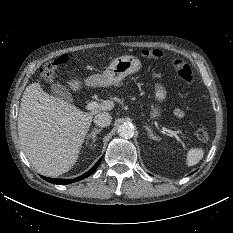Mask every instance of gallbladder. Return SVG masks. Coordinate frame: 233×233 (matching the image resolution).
I'll return each instance as SVG.
<instances>
[{
    "label": "gallbladder",
    "mask_w": 233,
    "mask_h": 233,
    "mask_svg": "<svg viewBox=\"0 0 233 233\" xmlns=\"http://www.w3.org/2000/svg\"><path fill=\"white\" fill-rule=\"evenodd\" d=\"M51 92L52 94L61 99V100H64L66 102H72L73 101V98H72V95L71 93L69 92V90L61 85V84H52L51 86Z\"/></svg>",
    "instance_id": "gallbladder-1"
}]
</instances>
